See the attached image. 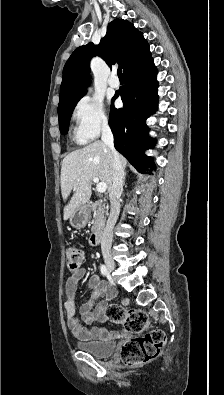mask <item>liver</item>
Returning <instances> with one entry per match:
<instances>
[{
  "mask_svg": "<svg viewBox=\"0 0 224 395\" xmlns=\"http://www.w3.org/2000/svg\"><path fill=\"white\" fill-rule=\"evenodd\" d=\"M123 168L127 160L119 154ZM98 177L102 183L111 188L112 153L103 141H94L81 149L69 153L62 161L61 192L66 200L73 190L70 202L64 208V220L79 207L85 205L91 196L92 180Z\"/></svg>",
  "mask_w": 224,
  "mask_h": 395,
  "instance_id": "1",
  "label": "liver"
}]
</instances>
